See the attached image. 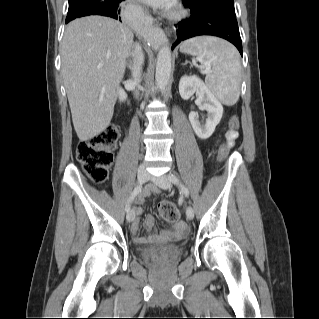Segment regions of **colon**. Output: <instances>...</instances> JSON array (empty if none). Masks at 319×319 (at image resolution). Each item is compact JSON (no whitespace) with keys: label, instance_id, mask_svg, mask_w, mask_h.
Returning a JSON list of instances; mask_svg holds the SVG:
<instances>
[{"label":"colon","instance_id":"colon-1","mask_svg":"<svg viewBox=\"0 0 319 319\" xmlns=\"http://www.w3.org/2000/svg\"><path fill=\"white\" fill-rule=\"evenodd\" d=\"M239 120L232 116L229 120V132L226 142L219 149V158L222 159L228 150V144L235 139L239 129ZM119 138V129L115 125H108L101 133L82 141L77 146V158L83 165L87 176L96 183L107 180L108 170L114 159V150ZM159 214L168 221H177L180 210L173 201H165L158 205ZM162 259V255H156Z\"/></svg>","mask_w":319,"mask_h":319}]
</instances>
